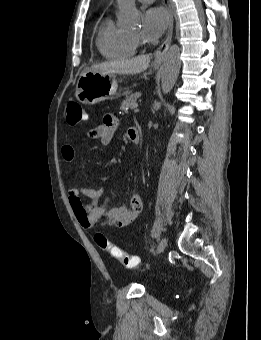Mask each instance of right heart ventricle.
Returning <instances> with one entry per match:
<instances>
[{
    "mask_svg": "<svg viewBox=\"0 0 261 340\" xmlns=\"http://www.w3.org/2000/svg\"><path fill=\"white\" fill-rule=\"evenodd\" d=\"M96 46L101 55L107 59L127 58L136 53L137 44L132 36L117 28L111 19L107 17L101 23Z\"/></svg>",
    "mask_w": 261,
    "mask_h": 340,
    "instance_id": "obj_1",
    "label": "right heart ventricle"
}]
</instances>
